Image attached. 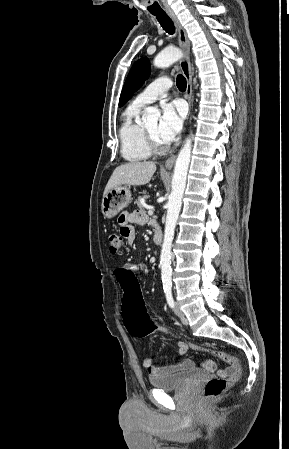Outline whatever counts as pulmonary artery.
<instances>
[{
    "mask_svg": "<svg viewBox=\"0 0 289 449\" xmlns=\"http://www.w3.org/2000/svg\"><path fill=\"white\" fill-rule=\"evenodd\" d=\"M172 86V82L167 77L155 79L143 92L138 94L133 104L144 107L154 101L164 97L168 89Z\"/></svg>",
    "mask_w": 289,
    "mask_h": 449,
    "instance_id": "e3ab8cb5",
    "label": "pulmonary artery"
}]
</instances>
